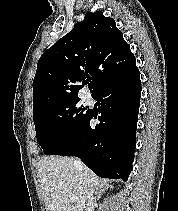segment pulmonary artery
<instances>
[{
	"mask_svg": "<svg viewBox=\"0 0 178 211\" xmlns=\"http://www.w3.org/2000/svg\"><path fill=\"white\" fill-rule=\"evenodd\" d=\"M86 101H87L88 103H90V102L92 101V97H91L90 94H87V95H86Z\"/></svg>",
	"mask_w": 178,
	"mask_h": 211,
	"instance_id": "1",
	"label": "pulmonary artery"
}]
</instances>
